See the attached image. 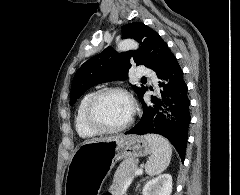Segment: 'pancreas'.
Listing matches in <instances>:
<instances>
[{
	"mask_svg": "<svg viewBox=\"0 0 240 195\" xmlns=\"http://www.w3.org/2000/svg\"><path fill=\"white\" fill-rule=\"evenodd\" d=\"M137 163L138 159H133V157L121 161L114 173L113 183L110 185L109 191H113V193H120L128 177H130V175H132L136 169H139Z\"/></svg>",
	"mask_w": 240,
	"mask_h": 195,
	"instance_id": "1",
	"label": "pancreas"
}]
</instances>
